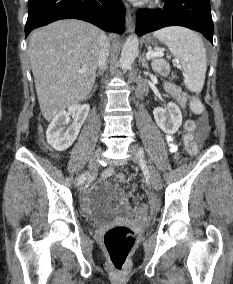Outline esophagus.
I'll use <instances>...</instances> for the list:
<instances>
[{
    "label": "esophagus",
    "mask_w": 233,
    "mask_h": 284,
    "mask_svg": "<svg viewBox=\"0 0 233 284\" xmlns=\"http://www.w3.org/2000/svg\"><path fill=\"white\" fill-rule=\"evenodd\" d=\"M135 11L130 8L129 5H126V23L128 26V31H133L135 28Z\"/></svg>",
    "instance_id": "1"
}]
</instances>
